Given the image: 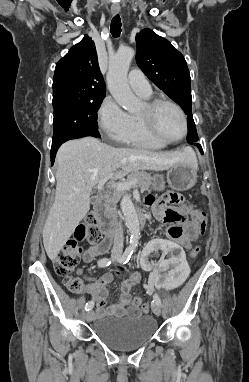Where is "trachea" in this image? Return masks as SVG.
Segmentation results:
<instances>
[{"label":"trachea","mask_w":249,"mask_h":382,"mask_svg":"<svg viewBox=\"0 0 249 382\" xmlns=\"http://www.w3.org/2000/svg\"><path fill=\"white\" fill-rule=\"evenodd\" d=\"M110 28H111V34L113 37H119L120 34H121V19H120V16L119 15H116L115 17H113L112 21H111V24H110Z\"/></svg>","instance_id":"1"}]
</instances>
